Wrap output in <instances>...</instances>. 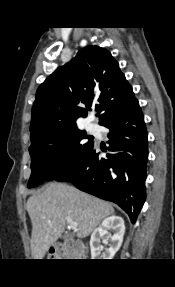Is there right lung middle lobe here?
Instances as JSON below:
<instances>
[{
    "label": "right lung middle lobe",
    "mask_w": 175,
    "mask_h": 287,
    "mask_svg": "<svg viewBox=\"0 0 175 287\" xmlns=\"http://www.w3.org/2000/svg\"><path fill=\"white\" fill-rule=\"evenodd\" d=\"M85 131L68 129L53 136L33 142L29 148L32 158V174L28 187H34L46 180H56L79 166L94 142Z\"/></svg>",
    "instance_id": "1"
}]
</instances>
